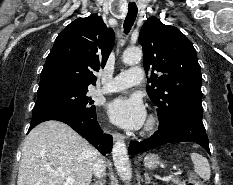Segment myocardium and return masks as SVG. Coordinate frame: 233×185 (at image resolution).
<instances>
[{
  "label": "myocardium",
  "mask_w": 233,
  "mask_h": 185,
  "mask_svg": "<svg viewBox=\"0 0 233 185\" xmlns=\"http://www.w3.org/2000/svg\"><path fill=\"white\" fill-rule=\"evenodd\" d=\"M159 126V118L155 114H150L149 117L147 118V121L145 123V126L143 128V133H152L156 131V129Z\"/></svg>",
  "instance_id": "f54148a6"
}]
</instances>
